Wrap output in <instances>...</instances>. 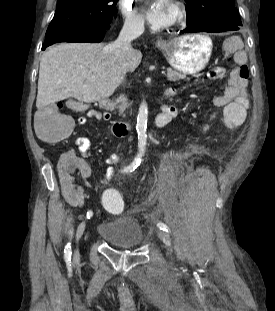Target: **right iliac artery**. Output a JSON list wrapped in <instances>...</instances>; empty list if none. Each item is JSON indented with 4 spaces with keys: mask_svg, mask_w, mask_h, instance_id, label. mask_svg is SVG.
Returning a JSON list of instances; mask_svg holds the SVG:
<instances>
[{
    "mask_svg": "<svg viewBox=\"0 0 275 311\" xmlns=\"http://www.w3.org/2000/svg\"><path fill=\"white\" fill-rule=\"evenodd\" d=\"M141 157L142 155L141 154H138L134 161L127 167H125L122 172H125V173H128V172H132L134 171L141 163ZM93 215V212L91 210H89L87 212V218L90 219V217H92ZM72 234V232H71ZM71 255H72V251H71V244L68 243L66 246H65V249H64V258L66 261H70L71 260Z\"/></svg>",
    "mask_w": 275,
    "mask_h": 311,
    "instance_id": "1",
    "label": "right iliac artery"
}]
</instances>
